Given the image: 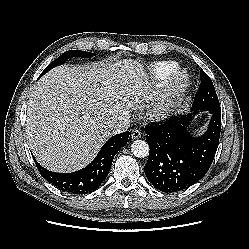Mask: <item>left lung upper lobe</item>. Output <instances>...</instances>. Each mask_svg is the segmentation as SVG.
<instances>
[{"mask_svg":"<svg viewBox=\"0 0 249 249\" xmlns=\"http://www.w3.org/2000/svg\"><path fill=\"white\" fill-rule=\"evenodd\" d=\"M200 79L201 83L196 93L192 110L214 111L220 109V103L214 85L203 70L200 71Z\"/></svg>","mask_w":249,"mask_h":249,"instance_id":"5c2ea615","label":"left lung upper lobe"}]
</instances>
